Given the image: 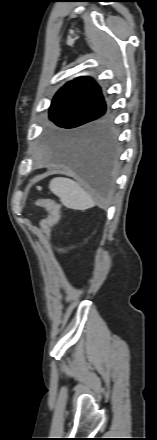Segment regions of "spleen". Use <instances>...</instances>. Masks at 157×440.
Here are the masks:
<instances>
[{
  "mask_svg": "<svg viewBox=\"0 0 157 440\" xmlns=\"http://www.w3.org/2000/svg\"><path fill=\"white\" fill-rule=\"evenodd\" d=\"M49 189L69 209L84 211L95 206V201L92 197L78 183L71 179L53 178L50 181Z\"/></svg>",
  "mask_w": 157,
  "mask_h": 440,
  "instance_id": "3e777b00",
  "label": "spleen"
}]
</instances>
